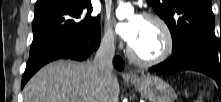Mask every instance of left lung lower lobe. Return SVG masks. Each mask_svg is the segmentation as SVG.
<instances>
[{
	"label": "left lung lower lobe",
	"mask_w": 221,
	"mask_h": 102,
	"mask_svg": "<svg viewBox=\"0 0 221 102\" xmlns=\"http://www.w3.org/2000/svg\"><path fill=\"white\" fill-rule=\"evenodd\" d=\"M157 73L195 70L211 76L221 88V59L205 46L188 43L174 50L171 57L149 69Z\"/></svg>",
	"instance_id": "obj_1"
}]
</instances>
